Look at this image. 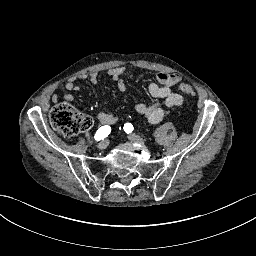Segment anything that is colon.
Masks as SVG:
<instances>
[{
  "instance_id": "1",
  "label": "colon",
  "mask_w": 256,
  "mask_h": 256,
  "mask_svg": "<svg viewBox=\"0 0 256 256\" xmlns=\"http://www.w3.org/2000/svg\"><path fill=\"white\" fill-rule=\"evenodd\" d=\"M181 90L186 94H192L193 89L187 82L181 83ZM50 122L55 130L65 136L71 137L81 131H86L92 126V119L76 111L69 103H59L50 114Z\"/></svg>"
}]
</instances>
